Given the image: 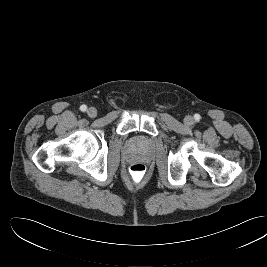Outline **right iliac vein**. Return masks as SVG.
I'll use <instances>...</instances> for the list:
<instances>
[{
    "instance_id": "obj_1",
    "label": "right iliac vein",
    "mask_w": 267,
    "mask_h": 267,
    "mask_svg": "<svg viewBox=\"0 0 267 267\" xmlns=\"http://www.w3.org/2000/svg\"><path fill=\"white\" fill-rule=\"evenodd\" d=\"M87 115L91 118H94L97 116V110L96 108L94 107H90L88 110H87Z\"/></svg>"
}]
</instances>
